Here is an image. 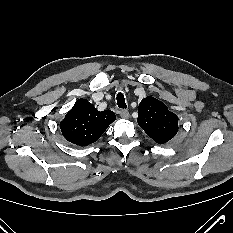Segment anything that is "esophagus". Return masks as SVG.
I'll list each match as a JSON object with an SVG mask.
<instances>
[{"instance_id": "1", "label": "esophagus", "mask_w": 233, "mask_h": 233, "mask_svg": "<svg viewBox=\"0 0 233 233\" xmlns=\"http://www.w3.org/2000/svg\"><path fill=\"white\" fill-rule=\"evenodd\" d=\"M119 114L124 119H127L129 117V112L127 110H121Z\"/></svg>"}]
</instances>
